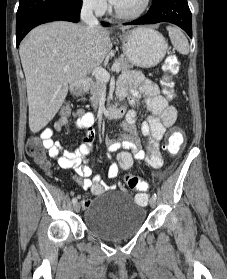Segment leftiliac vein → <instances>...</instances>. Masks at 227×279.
Instances as JSON below:
<instances>
[{
    "label": "left iliac vein",
    "instance_id": "obj_1",
    "mask_svg": "<svg viewBox=\"0 0 227 279\" xmlns=\"http://www.w3.org/2000/svg\"><path fill=\"white\" fill-rule=\"evenodd\" d=\"M149 204H150L151 207H155L156 206V199L151 198L150 201H149Z\"/></svg>",
    "mask_w": 227,
    "mask_h": 279
}]
</instances>
